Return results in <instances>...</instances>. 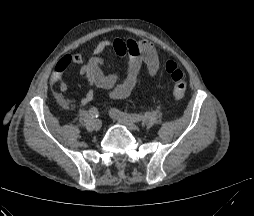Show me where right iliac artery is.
<instances>
[{
  "mask_svg": "<svg viewBox=\"0 0 254 216\" xmlns=\"http://www.w3.org/2000/svg\"><path fill=\"white\" fill-rule=\"evenodd\" d=\"M89 114H90L91 118H97L99 116V112H98L97 108H95V107L90 108Z\"/></svg>",
  "mask_w": 254,
  "mask_h": 216,
  "instance_id": "obj_1",
  "label": "right iliac artery"
}]
</instances>
